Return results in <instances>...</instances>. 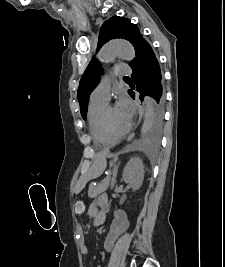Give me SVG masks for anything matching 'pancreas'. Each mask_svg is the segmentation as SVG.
<instances>
[{
	"label": "pancreas",
	"instance_id": "pancreas-1",
	"mask_svg": "<svg viewBox=\"0 0 225 267\" xmlns=\"http://www.w3.org/2000/svg\"><path fill=\"white\" fill-rule=\"evenodd\" d=\"M112 184V179L108 177V180H103L100 184L94 186L93 184H90L89 190H88V196L89 198H95L101 193L105 192L108 189L109 184Z\"/></svg>",
	"mask_w": 225,
	"mask_h": 267
}]
</instances>
